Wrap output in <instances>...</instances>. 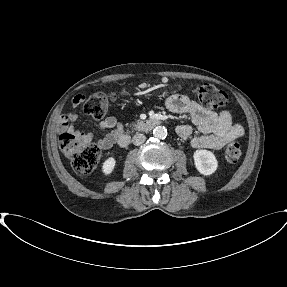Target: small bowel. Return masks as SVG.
Instances as JSON below:
<instances>
[{"label": "small bowel", "mask_w": 287, "mask_h": 287, "mask_svg": "<svg viewBox=\"0 0 287 287\" xmlns=\"http://www.w3.org/2000/svg\"><path fill=\"white\" fill-rule=\"evenodd\" d=\"M80 98L72 100V110L61 115L58 127L61 131L74 130L73 124L78 120L77 108ZM166 107L169 111L177 114H188L196 126L199 134H194L190 125H179L176 129L179 137L190 139L191 145L197 149H220L230 141L240 137L243 129L239 124L232 122L230 111H210L184 95H171L166 100ZM99 129L107 131L106 135L98 140L102 149L112 147L123 132V125L117 118L110 116L99 122ZM92 139V133L84 134Z\"/></svg>", "instance_id": "small-bowel-1"}]
</instances>
